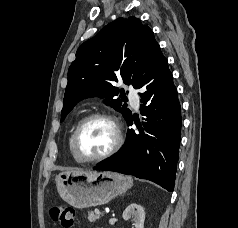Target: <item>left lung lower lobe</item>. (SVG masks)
<instances>
[{"label": "left lung lower lobe", "instance_id": "1", "mask_svg": "<svg viewBox=\"0 0 238 228\" xmlns=\"http://www.w3.org/2000/svg\"><path fill=\"white\" fill-rule=\"evenodd\" d=\"M136 89L142 103L140 113L146 118L144 131L133 129L121 150L105 159L94 170L115 171L150 180L173 191L181 137V108L168 61L160 47L145 67ZM148 104L147 106H145ZM136 123L135 115L127 120Z\"/></svg>", "mask_w": 238, "mask_h": 228}]
</instances>
